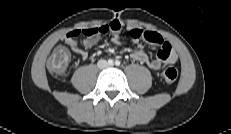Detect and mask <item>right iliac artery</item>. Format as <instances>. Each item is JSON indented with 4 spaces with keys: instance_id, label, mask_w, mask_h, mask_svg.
<instances>
[{
    "instance_id": "1",
    "label": "right iliac artery",
    "mask_w": 231,
    "mask_h": 134,
    "mask_svg": "<svg viewBox=\"0 0 231 134\" xmlns=\"http://www.w3.org/2000/svg\"><path fill=\"white\" fill-rule=\"evenodd\" d=\"M108 64H109V65H113V60H112V59H109V60H108Z\"/></svg>"
}]
</instances>
